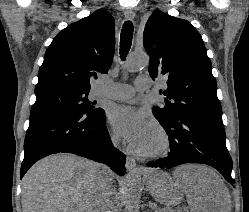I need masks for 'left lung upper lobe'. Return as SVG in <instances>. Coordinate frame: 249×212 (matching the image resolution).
Returning <instances> with one entry per match:
<instances>
[{
  "label": "left lung upper lobe",
  "instance_id": "1",
  "mask_svg": "<svg viewBox=\"0 0 249 212\" xmlns=\"http://www.w3.org/2000/svg\"><path fill=\"white\" fill-rule=\"evenodd\" d=\"M143 44L150 56V76L167 79L168 88L161 91L165 100L152 109L157 119L195 112L222 115L204 42L187 20L155 10L145 25Z\"/></svg>",
  "mask_w": 249,
  "mask_h": 212
}]
</instances>
